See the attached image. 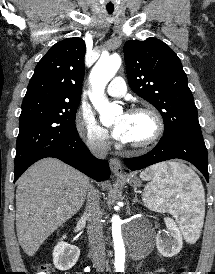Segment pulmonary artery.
<instances>
[{
    "instance_id": "pulmonary-artery-1",
    "label": "pulmonary artery",
    "mask_w": 215,
    "mask_h": 274,
    "mask_svg": "<svg viewBox=\"0 0 215 274\" xmlns=\"http://www.w3.org/2000/svg\"><path fill=\"white\" fill-rule=\"evenodd\" d=\"M107 93L113 97H121L126 93V84L122 77H115L107 87Z\"/></svg>"
}]
</instances>
